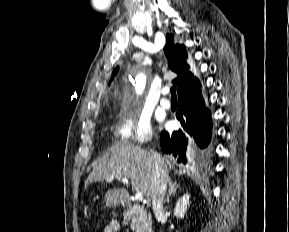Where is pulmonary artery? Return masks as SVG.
Returning a JSON list of instances; mask_svg holds the SVG:
<instances>
[{
    "instance_id": "1",
    "label": "pulmonary artery",
    "mask_w": 289,
    "mask_h": 232,
    "mask_svg": "<svg viewBox=\"0 0 289 232\" xmlns=\"http://www.w3.org/2000/svg\"><path fill=\"white\" fill-rule=\"evenodd\" d=\"M169 92V89L168 88H163L162 89V94H163V97L161 98L160 100V105L162 108L164 109H169L171 107V102L168 98L165 97V95Z\"/></svg>"
}]
</instances>
